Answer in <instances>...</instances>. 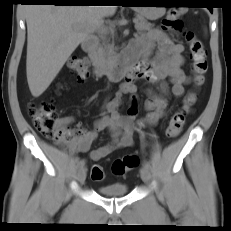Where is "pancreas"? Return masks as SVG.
<instances>
[{
  "label": "pancreas",
  "instance_id": "pancreas-1",
  "mask_svg": "<svg viewBox=\"0 0 231 231\" xmlns=\"http://www.w3.org/2000/svg\"><path fill=\"white\" fill-rule=\"evenodd\" d=\"M137 20L138 23L135 24V28L138 32L149 31L152 29L153 24L149 23L146 19L139 17ZM115 50L114 43L109 44L108 42H103V45L97 49L98 60L108 64L115 57Z\"/></svg>",
  "mask_w": 231,
  "mask_h": 231
}]
</instances>
